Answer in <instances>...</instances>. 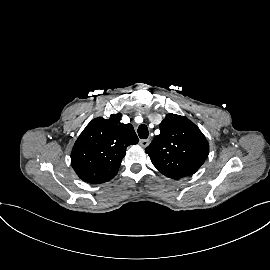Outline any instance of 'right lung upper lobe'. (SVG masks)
Wrapping results in <instances>:
<instances>
[{
	"mask_svg": "<svg viewBox=\"0 0 270 270\" xmlns=\"http://www.w3.org/2000/svg\"><path fill=\"white\" fill-rule=\"evenodd\" d=\"M121 114L93 119L74 144L71 164L80 179L91 184L111 180L118 172L129 145L138 143L131 124L120 122Z\"/></svg>",
	"mask_w": 270,
	"mask_h": 270,
	"instance_id": "cb5924a9",
	"label": "right lung upper lobe"
}]
</instances>
